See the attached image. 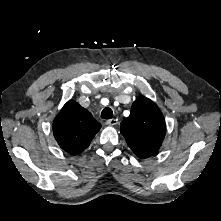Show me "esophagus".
<instances>
[{"mask_svg":"<svg viewBox=\"0 0 221 221\" xmlns=\"http://www.w3.org/2000/svg\"><path fill=\"white\" fill-rule=\"evenodd\" d=\"M106 124L109 126H114L118 124V119H110L106 121Z\"/></svg>","mask_w":221,"mask_h":221,"instance_id":"1","label":"esophagus"}]
</instances>
